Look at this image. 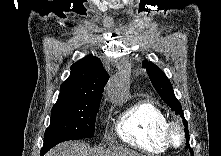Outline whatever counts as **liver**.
<instances>
[{"mask_svg": "<svg viewBox=\"0 0 221 156\" xmlns=\"http://www.w3.org/2000/svg\"><path fill=\"white\" fill-rule=\"evenodd\" d=\"M46 156H142L140 153L122 148L112 147L107 150H93L81 141H71L58 145L50 150Z\"/></svg>", "mask_w": 221, "mask_h": 156, "instance_id": "liver-1", "label": "liver"}]
</instances>
